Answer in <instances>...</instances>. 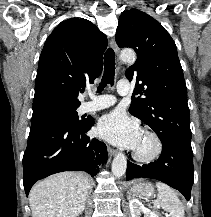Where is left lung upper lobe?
I'll return each mask as SVG.
<instances>
[{
  "instance_id": "obj_1",
  "label": "left lung upper lobe",
  "mask_w": 211,
  "mask_h": 217,
  "mask_svg": "<svg viewBox=\"0 0 211 217\" xmlns=\"http://www.w3.org/2000/svg\"><path fill=\"white\" fill-rule=\"evenodd\" d=\"M116 42L137 53L126 72L136 80L129 112L150 126L160 139L176 136L191 141L187 88L175 42L148 14L131 9L119 17Z\"/></svg>"
}]
</instances>
